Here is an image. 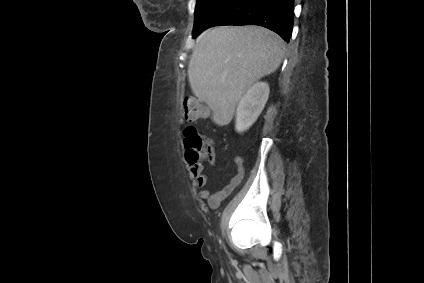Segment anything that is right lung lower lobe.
<instances>
[{"instance_id": "right-lung-lower-lobe-1", "label": "right lung lower lobe", "mask_w": 424, "mask_h": 283, "mask_svg": "<svg viewBox=\"0 0 424 283\" xmlns=\"http://www.w3.org/2000/svg\"><path fill=\"white\" fill-rule=\"evenodd\" d=\"M294 0H228L196 33L216 25H258L289 42L294 18Z\"/></svg>"}]
</instances>
